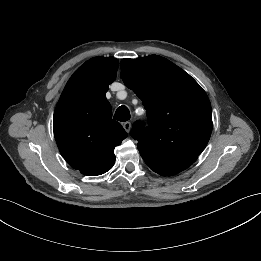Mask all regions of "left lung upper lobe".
I'll return each mask as SVG.
<instances>
[{"label":"left lung upper lobe","instance_id":"left-lung-upper-lobe-1","mask_svg":"<svg viewBox=\"0 0 261 261\" xmlns=\"http://www.w3.org/2000/svg\"><path fill=\"white\" fill-rule=\"evenodd\" d=\"M125 85L146 109L149 127L136 122L132 137L145 163L163 176L192 165L206 147L212 131V111L204 90L169 60L151 55L123 59Z\"/></svg>","mask_w":261,"mask_h":261}]
</instances>
